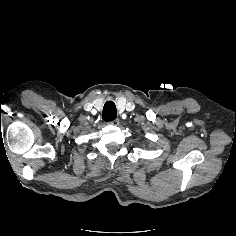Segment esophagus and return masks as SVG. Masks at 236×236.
I'll return each instance as SVG.
<instances>
[{
    "mask_svg": "<svg viewBox=\"0 0 236 236\" xmlns=\"http://www.w3.org/2000/svg\"><path fill=\"white\" fill-rule=\"evenodd\" d=\"M119 119H115L113 121L110 122L111 125H114V126H118L119 125Z\"/></svg>",
    "mask_w": 236,
    "mask_h": 236,
    "instance_id": "obj_1",
    "label": "esophagus"
}]
</instances>
